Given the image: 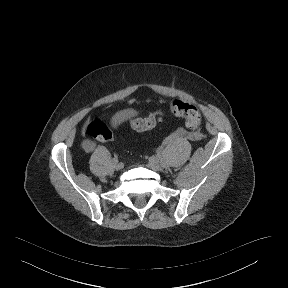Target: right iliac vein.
I'll return each instance as SVG.
<instances>
[{
  "label": "right iliac vein",
  "instance_id": "63e3f726",
  "mask_svg": "<svg viewBox=\"0 0 288 288\" xmlns=\"http://www.w3.org/2000/svg\"><path fill=\"white\" fill-rule=\"evenodd\" d=\"M113 165L116 170H121L123 168V164L118 161H113Z\"/></svg>",
  "mask_w": 288,
  "mask_h": 288
}]
</instances>
